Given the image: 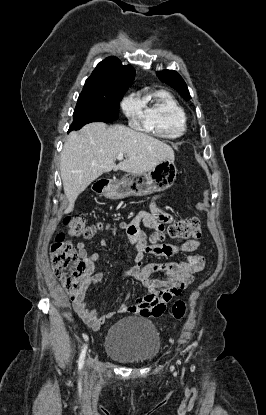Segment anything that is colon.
<instances>
[{"label": "colon", "instance_id": "1", "mask_svg": "<svg viewBox=\"0 0 266 415\" xmlns=\"http://www.w3.org/2000/svg\"><path fill=\"white\" fill-rule=\"evenodd\" d=\"M68 233L78 238L92 237L99 226L88 225L83 215L78 214L67 217L64 221ZM201 235V223L196 217L180 219L170 223L167 227L156 232L154 238L175 240H190ZM53 269L56 276L62 281L64 287L75 298L80 290L81 280L86 274L87 265L75 250L71 241L59 233L50 248ZM186 313V304L183 300L176 301L171 308V315L175 319H182ZM156 316H163L164 310L156 311Z\"/></svg>", "mask_w": 266, "mask_h": 415}]
</instances>
